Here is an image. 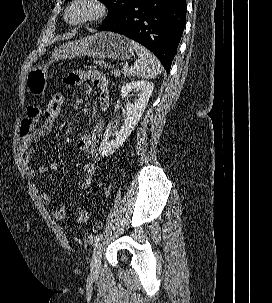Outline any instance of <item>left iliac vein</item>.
<instances>
[{
  "label": "left iliac vein",
  "instance_id": "left-iliac-vein-1",
  "mask_svg": "<svg viewBox=\"0 0 272 303\" xmlns=\"http://www.w3.org/2000/svg\"><path fill=\"white\" fill-rule=\"evenodd\" d=\"M102 254H103V244L102 242H98L93 249L92 260L90 263V271H91V275L93 276L98 275L101 269Z\"/></svg>",
  "mask_w": 272,
  "mask_h": 303
}]
</instances>
